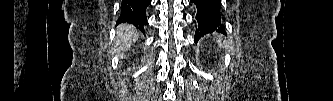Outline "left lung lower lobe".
Listing matches in <instances>:
<instances>
[{"label": "left lung lower lobe", "instance_id": "left-lung-lower-lobe-1", "mask_svg": "<svg viewBox=\"0 0 333 101\" xmlns=\"http://www.w3.org/2000/svg\"><path fill=\"white\" fill-rule=\"evenodd\" d=\"M197 6L196 19L198 28L195 31L194 41H197L208 33L217 31L225 34L221 24L220 0H190Z\"/></svg>", "mask_w": 333, "mask_h": 101}]
</instances>
